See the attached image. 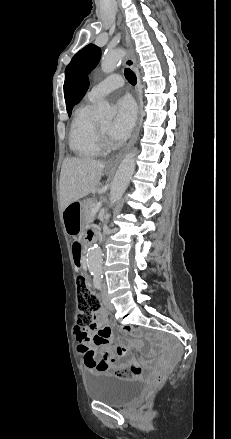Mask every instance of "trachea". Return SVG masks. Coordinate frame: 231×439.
<instances>
[{
    "label": "trachea",
    "mask_w": 231,
    "mask_h": 439,
    "mask_svg": "<svg viewBox=\"0 0 231 439\" xmlns=\"http://www.w3.org/2000/svg\"><path fill=\"white\" fill-rule=\"evenodd\" d=\"M124 75L130 84L135 85L137 83V78L135 73L131 71L129 68L125 69Z\"/></svg>",
    "instance_id": "trachea-1"
}]
</instances>
